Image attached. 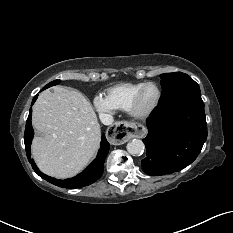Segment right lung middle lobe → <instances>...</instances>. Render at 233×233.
I'll list each match as a JSON object with an SVG mask.
<instances>
[{
  "mask_svg": "<svg viewBox=\"0 0 233 233\" xmlns=\"http://www.w3.org/2000/svg\"><path fill=\"white\" fill-rule=\"evenodd\" d=\"M60 82H61L60 80L52 81V82H50L49 84H47L45 87H43L42 90H44V89H46V88H49V87H51V86L57 85V84H59Z\"/></svg>",
  "mask_w": 233,
  "mask_h": 233,
  "instance_id": "dd1d6c3e",
  "label": "right lung middle lobe"
}]
</instances>
